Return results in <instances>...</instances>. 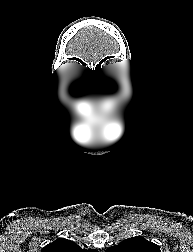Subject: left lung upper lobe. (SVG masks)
<instances>
[{"label": "left lung upper lobe", "instance_id": "1", "mask_svg": "<svg viewBox=\"0 0 193 252\" xmlns=\"http://www.w3.org/2000/svg\"><path fill=\"white\" fill-rule=\"evenodd\" d=\"M106 252H161L158 245L147 241L143 237L126 239L117 246L110 247Z\"/></svg>", "mask_w": 193, "mask_h": 252}]
</instances>
